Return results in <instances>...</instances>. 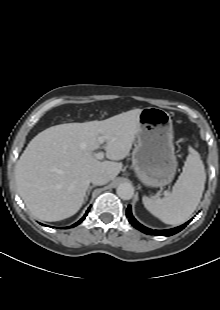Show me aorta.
Segmentation results:
<instances>
[{"label": "aorta", "mask_w": 220, "mask_h": 310, "mask_svg": "<svg viewBox=\"0 0 220 310\" xmlns=\"http://www.w3.org/2000/svg\"><path fill=\"white\" fill-rule=\"evenodd\" d=\"M116 191L117 195L123 200H130L134 195V188L130 183H121Z\"/></svg>", "instance_id": "762f6f07"}]
</instances>
